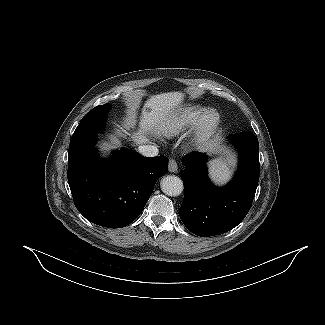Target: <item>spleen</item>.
<instances>
[{"instance_id": "3e777b00", "label": "spleen", "mask_w": 325, "mask_h": 325, "mask_svg": "<svg viewBox=\"0 0 325 325\" xmlns=\"http://www.w3.org/2000/svg\"><path fill=\"white\" fill-rule=\"evenodd\" d=\"M209 174L217 184L226 183L232 174L233 161L228 157H217L209 162Z\"/></svg>"}]
</instances>
